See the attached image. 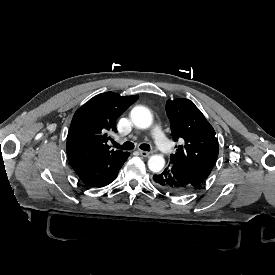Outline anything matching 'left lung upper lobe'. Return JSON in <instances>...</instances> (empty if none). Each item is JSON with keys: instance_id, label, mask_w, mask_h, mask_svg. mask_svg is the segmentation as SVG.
Here are the masks:
<instances>
[{"instance_id": "1", "label": "left lung upper lobe", "mask_w": 275, "mask_h": 275, "mask_svg": "<svg viewBox=\"0 0 275 275\" xmlns=\"http://www.w3.org/2000/svg\"><path fill=\"white\" fill-rule=\"evenodd\" d=\"M176 153L170 156V166L176 169L196 189L210 174L216 162L219 146L213 127L202 112L188 99L166 102Z\"/></svg>"}]
</instances>
